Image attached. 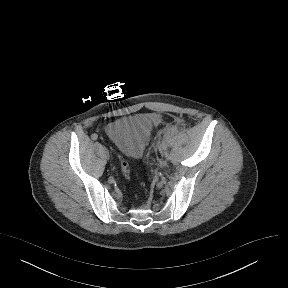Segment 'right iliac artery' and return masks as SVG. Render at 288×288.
I'll list each match as a JSON object with an SVG mask.
<instances>
[{
  "mask_svg": "<svg viewBox=\"0 0 288 288\" xmlns=\"http://www.w3.org/2000/svg\"><path fill=\"white\" fill-rule=\"evenodd\" d=\"M91 138H92L93 140H96V139L98 138V135L94 133V134L91 135Z\"/></svg>",
  "mask_w": 288,
  "mask_h": 288,
  "instance_id": "right-iliac-artery-1",
  "label": "right iliac artery"
}]
</instances>
